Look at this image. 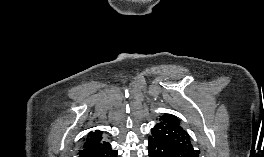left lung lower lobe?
<instances>
[{
	"instance_id": "0a47b994",
	"label": "left lung lower lobe",
	"mask_w": 264,
	"mask_h": 157,
	"mask_svg": "<svg viewBox=\"0 0 264 157\" xmlns=\"http://www.w3.org/2000/svg\"><path fill=\"white\" fill-rule=\"evenodd\" d=\"M148 157H178L174 150L161 141L149 139Z\"/></svg>"
}]
</instances>
